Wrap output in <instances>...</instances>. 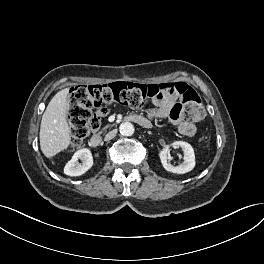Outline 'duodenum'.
<instances>
[{
	"label": "duodenum",
	"mask_w": 264,
	"mask_h": 264,
	"mask_svg": "<svg viewBox=\"0 0 264 264\" xmlns=\"http://www.w3.org/2000/svg\"><path fill=\"white\" fill-rule=\"evenodd\" d=\"M129 121L137 123L138 125L149 128L152 123L143 116L140 115H131L127 118ZM102 143V136L100 133H94L90 138V144L94 147L99 146Z\"/></svg>",
	"instance_id": "1"
}]
</instances>
